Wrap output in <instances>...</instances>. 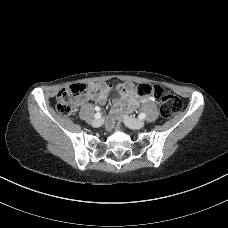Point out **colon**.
I'll use <instances>...</instances> for the list:
<instances>
[{"label": "colon", "mask_w": 228, "mask_h": 228, "mask_svg": "<svg viewBox=\"0 0 228 228\" xmlns=\"http://www.w3.org/2000/svg\"><path fill=\"white\" fill-rule=\"evenodd\" d=\"M132 91L136 92L141 97L157 95L160 99V113L164 118L174 116L182 108V102L177 96L165 90H160L157 86L142 83L133 85ZM85 92L86 85L82 83L72 84L63 88L56 96L57 111L63 116L70 115L78 100Z\"/></svg>", "instance_id": "colon-1"}]
</instances>
